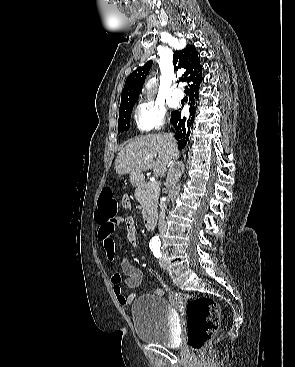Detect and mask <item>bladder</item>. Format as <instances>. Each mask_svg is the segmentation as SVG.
<instances>
[{
    "mask_svg": "<svg viewBox=\"0 0 295 367\" xmlns=\"http://www.w3.org/2000/svg\"><path fill=\"white\" fill-rule=\"evenodd\" d=\"M132 320L138 338L146 343L171 347L177 340L171 304L163 297L145 294L132 305Z\"/></svg>",
    "mask_w": 295,
    "mask_h": 367,
    "instance_id": "bladder-1",
    "label": "bladder"
}]
</instances>
